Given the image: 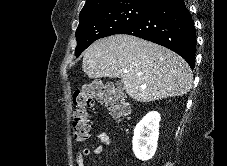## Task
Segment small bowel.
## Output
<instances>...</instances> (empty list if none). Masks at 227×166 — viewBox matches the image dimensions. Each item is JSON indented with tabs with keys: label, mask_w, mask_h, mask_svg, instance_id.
<instances>
[{
	"label": "small bowel",
	"mask_w": 227,
	"mask_h": 166,
	"mask_svg": "<svg viewBox=\"0 0 227 166\" xmlns=\"http://www.w3.org/2000/svg\"><path fill=\"white\" fill-rule=\"evenodd\" d=\"M97 137L99 139V145L96 146L93 150L85 148L78 152L77 155V164L78 166H86V159L93 154H101L104 147H110L112 145V140L110 136L103 131L98 132ZM115 153L118 155V152L115 150Z\"/></svg>",
	"instance_id": "c3829d8e"
}]
</instances>
